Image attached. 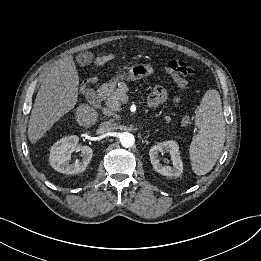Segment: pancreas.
I'll return each instance as SVG.
<instances>
[{
	"instance_id": "1",
	"label": "pancreas",
	"mask_w": 261,
	"mask_h": 261,
	"mask_svg": "<svg viewBox=\"0 0 261 261\" xmlns=\"http://www.w3.org/2000/svg\"><path fill=\"white\" fill-rule=\"evenodd\" d=\"M129 88L127 85L122 84L117 89H112L107 96L106 105L113 111H120L122 100L126 97ZM164 119L167 123L171 122L170 116L164 115Z\"/></svg>"
}]
</instances>
